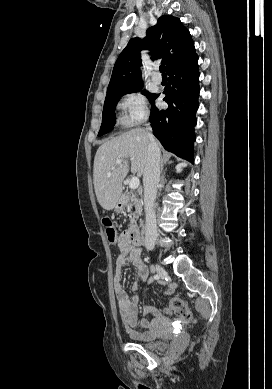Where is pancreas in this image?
<instances>
[{"label": "pancreas", "instance_id": "pancreas-1", "mask_svg": "<svg viewBox=\"0 0 272 389\" xmlns=\"http://www.w3.org/2000/svg\"><path fill=\"white\" fill-rule=\"evenodd\" d=\"M128 202L126 204L128 211L134 206L135 211L130 212V228L136 227L137 220L142 213L143 202L141 198H138L137 193L130 191L127 194Z\"/></svg>", "mask_w": 272, "mask_h": 389}]
</instances>
